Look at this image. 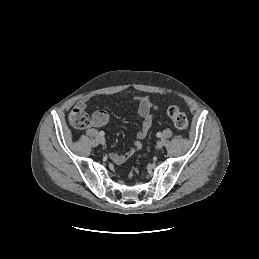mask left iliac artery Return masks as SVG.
Wrapping results in <instances>:
<instances>
[{"label":"left iliac artery","mask_w":259,"mask_h":259,"mask_svg":"<svg viewBox=\"0 0 259 259\" xmlns=\"http://www.w3.org/2000/svg\"><path fill=\"white\" fill-rule=\"evenodd\" d=\"M156 135H157V137H161L162 134L160 132H158Z\"/></svg>","instance_id":"44dca946"}]
</instances>
